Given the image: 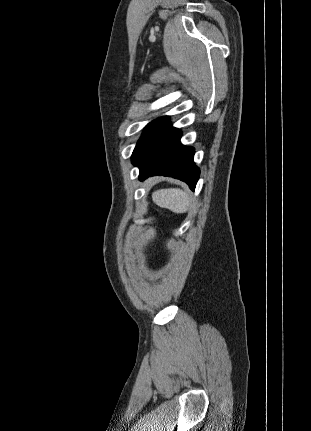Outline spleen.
I'll use <instances>...</instances> for the list:
<instances>
[{
    "label": "spleen",
    "instance_id": "3e777b00",
    "mask_svg": "<svg viewBox=\"0 0 311 431\" xmlns=\"http://www.w3.org/2000/svg\"><path fill=\"white\" fill-rule=\"evenodd\" d=\"M153 202L160 208H168L174 214H185L192 202L190 194L179 188H168V190H157L152 194Z\"/></svg>",
    "mask_w": 311,
    "mask_h": 431
}]
</instances>
